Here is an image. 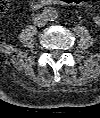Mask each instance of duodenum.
<instances>
[{
	"label": "duodenum",
	"mask_w": 100,
	"mask_h": 118,
	"mask_svg": "<svg viewBox=\"0 0 100 118\" xmlns=\"http://www.w3.org/2000/svg\"><path fill=\"white\" fill-rule=\"evenodd\" d=\"M66 0H40L36 5L37 6H47V5H60L65 4Z\"/></svg>",
	"instance_id": "410a0bca"
}]
</instances>
